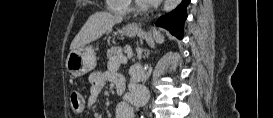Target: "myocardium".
Listing matches in <instances>:
<instances>
[{"label":"myocardium","mask_w":273,"mask_h":118,"mask_svg":"<svg viewBox=\"0 0 273 118\" xmlns=\"http://www.w3.org/2000/svg\"><path fill=\"white\" fill-rule=\"evenodd\" d=\"M132 8L137 11V12H142V11H145L147 8H146V5L138 2V1H133V5H132Z\"/></svg>","instance_id":"obj_1"}]
</instances>
